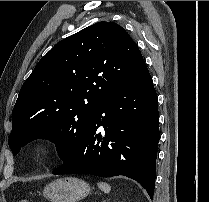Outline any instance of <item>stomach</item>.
<instances>
[{"mask_svg": "<svg viewBox=\"0 0 209 202\" xmlns=\"http://www.w3.org/2000/svg\"><path fill=\"white\" fill-rule=\"evenodd\" d=\"M90 191L91 188L85 181L66 177L47 184L43 189V195L51 202H78L86 197Z\"/></svg>", "mask_w": 209, "mask_h": 202, "instance_id": "stomach-1", "label": "stomach"}]
</instances>
